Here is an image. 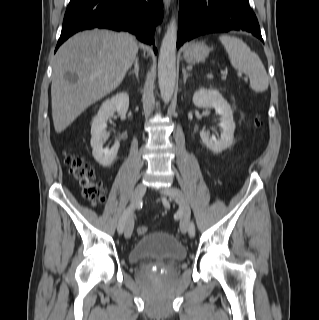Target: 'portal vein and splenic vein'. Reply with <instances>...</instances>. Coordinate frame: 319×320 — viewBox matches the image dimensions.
<instances>
[{"label":"portal vein and splenic vein","mask_w":319,"mask_h":320,"mask_svg":"<svg viewBox=\"0 0 319 320\" xmlns=\"http://www.w3.org/2000/svg\"><path fill=\"white\" fill-rule=\"evenodd\" d=\"M223 73H224V74H227V71H224ZM238 76H241V74L239 73Z\"/></svg>","instance_id":"18ae733b"}]
</instances>
